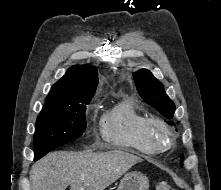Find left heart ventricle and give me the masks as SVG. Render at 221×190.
<instances>
[{"mask_svg": "<svg viewBox=\"0 0 221 190\" xmlns=\"http://www.w3.org/2000/svg\"><path fill=\"white\" fill-rule=\"evenodd\" d=\"M154 137L158 140H162L164 138V135L158 128H156L154 130Z\"/></svg>", "mask_w": 221, "mask_h": 190, "instance_id": "obj_1", "label": "left heart ventricle"}]
</instances>
